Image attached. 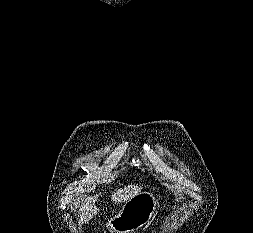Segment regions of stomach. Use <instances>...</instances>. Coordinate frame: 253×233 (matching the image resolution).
<instances>
[{
    "mask_svg": "<svg viewBox=\"0 0 253 233\" xmlns=\"http://www.w3.org/2000/svg\"><path fill=\"white\" fill-rule=\"evenodd\" d=\"M158 200L151 192H138L124 203L119 213L108 222L112 233H135L155 215Z\"/></svg>",
    "mask_w": 253,
    "mask_h": 233,
    "instance_id": "obj_1",
    "label": "stomach"
}]
</instances>
